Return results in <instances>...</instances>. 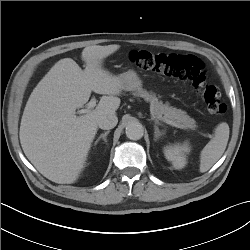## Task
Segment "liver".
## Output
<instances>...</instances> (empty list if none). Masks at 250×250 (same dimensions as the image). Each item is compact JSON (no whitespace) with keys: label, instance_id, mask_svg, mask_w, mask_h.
<instances>
[{"label":"liver","instance_id":"obj_1","mask_svg":"<svg viewBox=\"0 0 250 250\" xmlns=\"http://www.w3.org/2000/svg\"><path fill=\"white\" fill-rule=\"evenodd\" d=\"M120 45L88 46L82 70L71 58L59 60L31 93L20 124V143L28 160L49 180L74 183L83 170L101 116L116 114L122 82L103 69V60ZM102 94L97 107L76 116L91 92Z\"/></svg>","mask_w":250,"mask_h":250}]
</instances>
